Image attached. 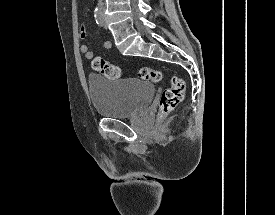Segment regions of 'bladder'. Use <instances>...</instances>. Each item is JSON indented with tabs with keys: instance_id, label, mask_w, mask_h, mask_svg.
Wrapping results in <instances>:
<instances>
[{
	"instance_id": "31cf9c89",
	"label": "bladder",
	"mask_w": 275,
	"mask_h": 215,
	"mask_svg": "<svg viewBox=\"0 0 275 215\" xmlns=\"http://www.w3.org/2000/svg\"><path fill=\"white\" fill-rule=\"evenodd\" d=\"M88 85L95 111L114 119L129 118L147 108L155 94L153 84L138 78L112 81L90 75Z\"/></svg>"
}]
</instances>
